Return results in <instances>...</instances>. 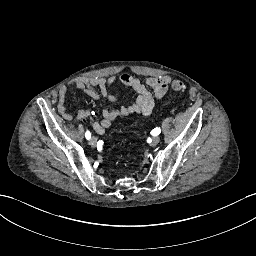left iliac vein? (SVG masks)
Here are the masks:
<instances>
[{"mask_svg":"<svg viewBox=\"0 0 256 256\" xmlns=\"http://www.w3.org/2000/svg\"><path fill=\"white\" fill-rule=\"evenodd\" d=\"M159 141H160V138L158 137V136H154L153 138H152V141H151V146L152 147H155L158 143H159Z\"/></svg>","mask_w":256,"mask_h":256,"instance_id":"4c4485c4","label":"left iliac vein"}]
</instances>
